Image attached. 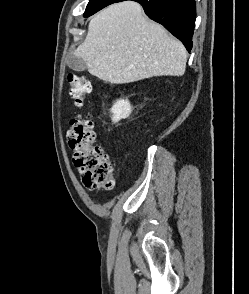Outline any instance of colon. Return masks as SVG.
I'll list each match as a JSON object with an SVG mask.
<instances>
[{
    "label": "colon",
    "instance_id": "colon-1",
    "mask_svg": "<svg viewBox=\"0 0 249 294\" xmlns=\"http://www.w3.org/2000/svg\"><path fill=\"white\" fill-rule=\"evenodd\" d=\"M69 92L78 109L87 105L92 91L90 81L80 75L69 73ZM68 143L73 150V161L88 188L110 190L114 187V167L104 150L95 144V132L88 114L78 113L70 122Z\"/></svg>",
    "mask_w": 249,
    "mask_h": 294
}]
</instances>
